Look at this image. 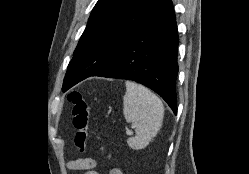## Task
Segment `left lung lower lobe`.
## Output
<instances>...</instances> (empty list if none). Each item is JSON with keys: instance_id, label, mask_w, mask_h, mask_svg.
Listing matches in <instances>:
<instances>
[{"instance_id": "left-lung-lower-lobe-1", "label": "left lung lower lobe", "mask_w": 249, "mask_h": 174, "mask_svg": "<svg viewBox=\"0 0 249 174\" xmlns=\"http://www.w3.org/2000/svg\"><path fill=\"white\" fill-rule=\"evenodd\" d=\"M179 43L172 1L127 42L120 52L92 76L133 80L159 94L177 114L176 78ZM84 79H78L72 86Z\"/></svg>"}]
</instances>
